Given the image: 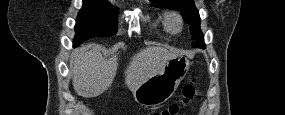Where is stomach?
Segmentation results:
<instances>
[{
    "label": "stomach",
    "instance_id": "obj_1",
    "mask_svg": "<svg viewBox=\"0 0 285 115\" xmlns=\"http://www.w3.org/2000/svg\"><path fill=\"white\" fill-rule=\"evenodd\" d=\"M189 66L190 62L185 56L170 59L160 73L150 77L133 91L135 101L145 107L163 104L174 94Z\"/></svg>",
    "mask_w": 285,
    "mask_h": 115
}]
</instances>
